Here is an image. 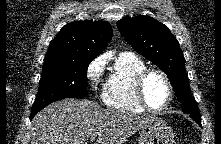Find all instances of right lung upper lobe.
Segmentation results:
<instances>
[{"mask_svg": "<svg viewBox=\"0 0 221 144\" xmlns=\"http://www.w3.org/2000/svg\"><path fill=\"white\" fill-rule=\"evenodd\" d=\"M108 22H72L50 42L44 61H92L112 39Z\"/></svg>", "mask_w": 221, "mask_h": 144, "instance_id": "cb5924a9", "label": "right lung upper lobe"}]
</instances>
